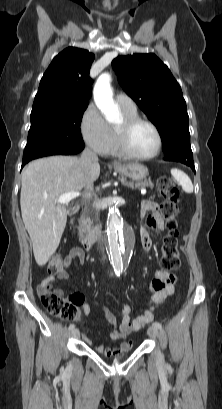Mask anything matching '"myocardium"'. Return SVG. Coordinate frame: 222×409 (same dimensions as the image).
Returning a JSON list of instances; mask_svg holds the SVG:
<instances>
[{
	"label": "myocardium",
	"mask_w": 222,
	"mask_h": 409,
	"mask_svg": "<svg viewBox=\"0 0 222 409\" xmlns=\"http://www.w3.org/2000/svg\"><path fill=\"white\" fill-rule=\"evenodd\" d=\"M138 124H146L150 126L156 134L157 145H156L155 150L150 154L138 155L132 152V150L129 147L128 134L131 131V129H133ZM115 132H116V140H117V146L119 148V151L128 158L135 159V160H149V159L156 157L162 149L163 138H162V134L158 126L154 122L146 118H142L138 116L130 117V118L125 117L123 125L121 127H117Z\"/></svg>",
	"instance_id": "obj_1"
}]
</instances>
